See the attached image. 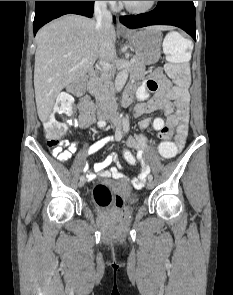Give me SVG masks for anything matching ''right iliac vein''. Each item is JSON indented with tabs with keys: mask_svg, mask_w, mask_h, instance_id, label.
Returning a JSON list of instances; mask_svg holds the SVG:
<instances>
[{
	"mask_svg": "<svg viewBox=\"0 0 233 295\" xmlns=\"http://www.w3.org/2000/svg\"><path fill=\"white\" fill-rule=\"evenodd\" d=\"M84 184H85V179H82L79 181L78 186L82 187V186H84Z\"/></svg>",
	"mask_w": 233,
	"mask_h": 295,
	"instance_id": "obj_1",
	"label": "right iliac vein"
}]
</instances>
